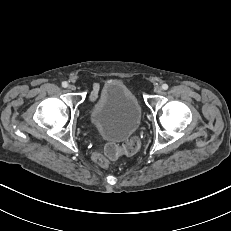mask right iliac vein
Returning <instances> with one entry per match:
<instances>
[{
  "mask_svg": "<svg viewBox=\"0 0 231 231\" xmlns=\"http://www.w3.org/2000/svg\"><path fill=\"white\" fill-rule=\"evenodd\" d=\"M68 89L71 90V91H74V90H76V86L74 84H70L68 86Z\"/></svg>",
  "mask_w": 231,
  "mask_h": 231,
  "instance_id": "1",
  "label": "right iliac vein"
}]
</instances>
